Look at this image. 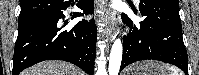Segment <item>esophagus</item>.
Segmentation results:
<instances>
[{
  "mask_svg": "<svg viewBox=\"0 0 199 75\" xmlns=\"http://www.w3.org/2000/svg\"><path fill=\"white\" fill-rule=\"evenodd\" d=\"M117 20V14L113 10H108L105 18V34L112 42L115 38V22Z\"/></svg>",
  "mask_w": 199,
  "mask_h": 75,
  "instance_id": "1",
  "label": "esophagus"
}]
</instances>
